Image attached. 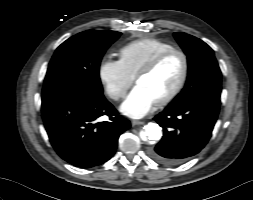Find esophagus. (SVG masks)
Returning a JSON list of instances; mask_svg holds the SVG:
<instances>
[{
  "label": "esophagus",
  "mask_w": 253,
  "mask_h": 200,
  "mask_svg": "<svg viewBox=\"0 0 253 200\" xmlns=\"http://www.w3.org/2000/svg\"><path fill=\"white\" fill-rule=\"evenodd\" d=\"M131 124H132V126H137V125H143L144 122L138 121V120H133V121L131 122Z\"/></svg>",
  "instance_id": "34e87169"
}]
</instances>
